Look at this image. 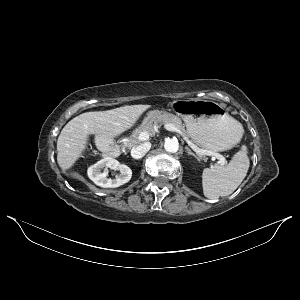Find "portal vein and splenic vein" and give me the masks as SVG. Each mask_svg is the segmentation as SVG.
<instances>
[{
    "mask_svg": "<svg viewBox=\"0 0 300 300\" xmlns=\"http://www.w3.org/2000/svg\"><path fill=\"white\" fill-rule=\"evenodd\" d=\"M164 128L167 129L168 131H172V132H177L179 134H181L183 136V139L187 142V144L199 155V156H213L214 158L219 160V163L221 165H224L226 160L223 157V155L213 151V150H205V149H201L199 147H197L191 140H189L186 136H184L182 134V132L176 128L174 125L172 124H165ZM149 139V133L148 132H141L138 136V140L139 141H147Z\"/></svg>",
    "mask_w": 300,
    "mask_h": 300,
    "instance_id": "portal-vein-and-splenic-vein-1",
    "label": "portal vein and splenic vein"
}]
</instances>
